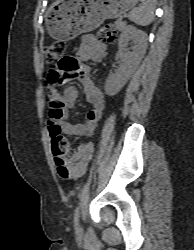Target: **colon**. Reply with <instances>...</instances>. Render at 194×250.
Listing matches in <instances>:
<instances>
[{"instance_id":"colon-1","label":"colon","mask_w":194,"mask_h":250,"mask_svg":"<svg viewBox=\"0 0 194 250\" xmlns=\"http://www.w3.org/2000/svg\"><path fill=\"white\" fill-rule=\"evenodd\" d=\"M98 35L101 40L108 43H113L117 39V31L110 24L102 26L98 31ZM66 48L67 44L64 41H54L49 43L44 48L45 59L48 62H64L62 56ZM64 80L65 78L62 74L55 70H51L48 74L47 84L50 88L54 89L58 95L59 92L57 89L62 85ZM57 105L61 107L62 103L58 102ZM51 138L52 151L58 168V173L62 178H68L70 176V170L67 167V160L73 158L76 155L77 150L71 146L70 142L61 133H55Z\"/></svg>"}]
</instances>
